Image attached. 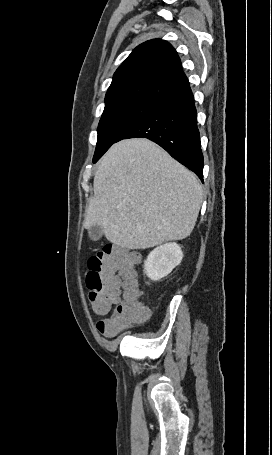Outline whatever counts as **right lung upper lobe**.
<instances>
[{
  "label": "right lung upper lobe",
  "instance_id": "right-lung-upper-lobe-1",
  "mask_svg": "<svg viewBox=\"0 0 272 455\" xmlns=\"http://www.w3.org/2000/svg\"><path fill=\"white\" fill-rule=\"evenodd\" d=\"M189 89L175 49L164 40L153 39L137 46L118 67L105 104L137 97L167 102Z\"/></svg>",
  "mask_w": 272,
  "mask_h": 455
}]
</instances>
